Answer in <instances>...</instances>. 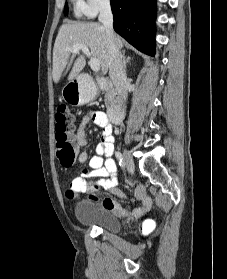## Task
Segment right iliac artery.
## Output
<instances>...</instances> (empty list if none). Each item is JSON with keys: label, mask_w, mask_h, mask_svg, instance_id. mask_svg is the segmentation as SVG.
Instances as JSON below:
<instances>
[{"label": "right iliac artery", "mask_w": 227, "mask_h": 279, "mask_svg": "<svg viewBox=\"0 0 227 279\" xmlns=\"http://www.w3.org/2000/svg\"><path fill=\"white\" fill-rule=\"evenodd\" d=\"M115 156L118 159L120 166L124 167L125 162H124L123 155L120 152H115Z\"/></svg>", "instance_id": "1"}]
</instances>
